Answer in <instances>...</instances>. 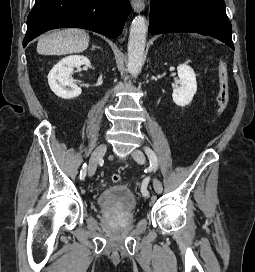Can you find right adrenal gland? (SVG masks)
Segmentation results:
<instances>
[{"mask_svg": "<svg viewBox=\"0 0 255 272\" xmlns=\"http://www.w3.org/2000/svg\"><path fill=\"white\" fill-rule=\"evenodd\" d=\"M95 48H100V47H97V46H95V45H92V49H95Z\"/></svg>", "mask_w": 255, "mask_h": 272, "instance_id": "2a0ac1e0", "label": "right adrenal gland"}]
</instances>
